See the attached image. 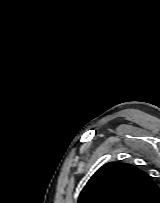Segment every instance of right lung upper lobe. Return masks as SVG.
<instances>
[{
    "label": "right lung upper lobe",
    "mask_w": 160,
    "mask_h": 203,
    "mask_svg": "<svg viewBox=\"0 0 160 203\" xmlns=\"http://www.w3.org/2000/svg\"><path fill=\"white\" fill-rule=\"evenodd\" d=\"M159 188L139 168L121 162H110L90 178L78 203H154Z\"/></svg>",
    "instance_id": "cb5924a9"
}]
</instances>
